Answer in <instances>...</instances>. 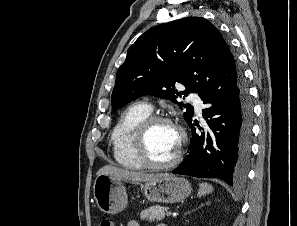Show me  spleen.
Returning <instances> with one entry per match:
<instances>
[{
	"label": "spleen",
	"instance_id": "obj_1",
	"mask_svg": "<svg viewBox=\"0 0 297 226\" xmlns=\"http://www.w3.org/2000/svg\"><path fill=\"white\" fill-rule=\"evenodd\" d=\"M213 191V187L212 185L208 184V183H201L199 185V191H198V196H204L206 194L212 193Z\"/></svg>",
	"mask_w": 297,
	"mask_h": 226
}]
</instances>
